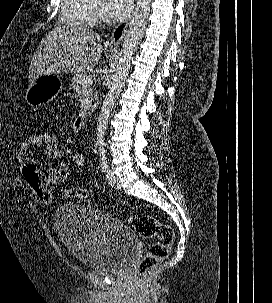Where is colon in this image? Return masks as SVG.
Returning a JSON list of instances; mask_svg holds the SVG:
<instances>
[{
    "label": "colon",
    "instance_id": "1",
    "mask_svg": "<svg viewBox=\"0 0 272 303\" xmlns=\"http://www.w3.org/2000/svg\"><path fill=\"white\" fill-rule=\"evenodd\" d=\"M37 137L43 149L59 148L57 136L53 131L43 130L37 134ZM72 164L77 170L84 169L86 166L84 154L81 152L73 154ZM23 174L37 197L43 203L50 204L52 195L40 184L36 169L33 166H27L24 168ZM64 194L70 198L88 199L90 197L89 191L82 187L68 188L64 191ZM130 222L142 238H156V241L149 246L147 254L138 266V275L143 279L168 257L174 242L175 233L170 225L161 223L151 215L133 216L130 218Z\"/></svg>",
    "mask_w": 272,
    "mask_h": 303
}]
</instances>
